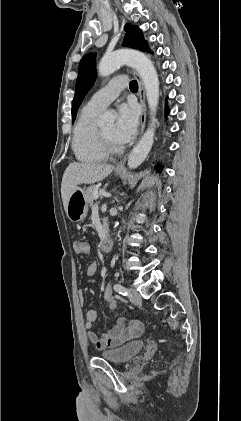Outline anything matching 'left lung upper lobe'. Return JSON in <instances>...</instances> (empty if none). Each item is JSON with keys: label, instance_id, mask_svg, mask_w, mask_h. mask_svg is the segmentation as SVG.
<instances>
[{"label": "left lung upper lobe", "instance_id": "5c2ea615", "mask_svg": "<svg viewBox=\"0 0 241 421\" xmlns=\"http://www.w3.org/2000/svg\"><path fill=\"white\" fill-rule=\"evenodd\" d=\"M126 32L123 46H128L134 49L143 50L147 45L146 41L143 39L141 30L131 24H126L124 27ZM95 54L89 53L85 55L80 61L79 72L76 81V90L75 96L72 103V119L74 121L79 105L84 99L87 92L93 86L96 78V60Z\"/></svg>", "mask_w": 241, "mask_h": 421}]
</instances>
